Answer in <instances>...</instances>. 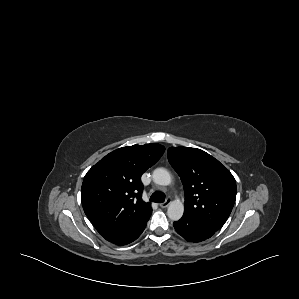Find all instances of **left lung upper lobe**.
I'll return each instance as SVG.
<instances>
[{"label":"left lung upper lobe","instance_id":"left-lung-upper-lobe-1","mask_svg":"<svg viewBox=\"0 0 299 299\" xmlns=\"http://www.w3.org/2000/svg\"><path fill=\"white\" fill-rule=\"evenodd\" d=\"M167 155L184 186L183 217L216 232L235 203L233 175L217 159L197 148L170 147Z\"/></svg>","mask_w":299,"mask_h":299}]
</instances>
